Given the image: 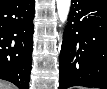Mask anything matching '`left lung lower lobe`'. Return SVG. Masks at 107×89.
Wrapping results in <instances>:
<instances>
[{
    "mask_svg": "<svg viewBox=\"0 0 107 89\" xmlns=\"http://www.w3.org/2000/svg\"><path fill=\"white\" fill-rule=\"evenodd\" d=\"M59 72V89H107V1L72 0Z\"/></svg>",
    "mask_w": 107,
    "mask_h": 89,
    "instance_id": "obj_1",
    "label": "left lung lower lobe"
}]
</instances>
